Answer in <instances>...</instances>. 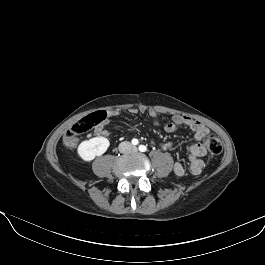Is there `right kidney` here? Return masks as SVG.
<instances>
[{
	"label": "right kidney",
	"mask_w": 265,
	"mask_h": 265,
	"mask_svg": "<svg viewBox=\"0 0 265 265\" xmlns=\"http://www.w3.org/2000/svg\"><path fill=\"white\" fill-rule=\"evenodd\" d=\"M110 142L105 137H93L79 144L77 152L84 161H92L106 152Z\"/></svg>",
	"instance_id": "ca27d5eb"
}]
</instances>
